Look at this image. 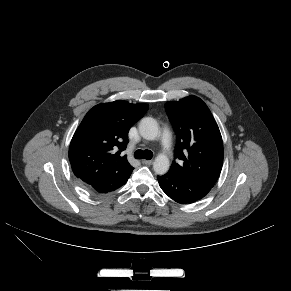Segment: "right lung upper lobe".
I'll list each match as a JSON object with an SVG mask.
<instances>
[{
  "mask_svg": "<svg viewBox=\"0 0 291 291\" xmlns=\"http://www.w3.org/2000/svg\"><path fill=\"white\" fill-rule=\"evenodd\" d=\"M148 110L146 104L123 100L94 106L76 130L69 147V160L75 176L88 183L114 170L129 176L133 167L121 152L128 143V131Z\"/></svg>",
  "mask_w": 291,
  "mask_h": 291,
  "instance_id": "obj_1",
  "label": "right lung upper lobe"
}]
</instances>
